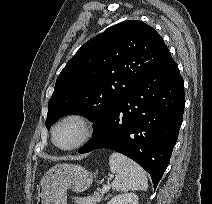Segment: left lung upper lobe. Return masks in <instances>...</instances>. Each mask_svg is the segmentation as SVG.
Returning <instances> with one entry per match:
<instances>
[{"instance_id":"obj_1","label":"left lung upper lobe","mask_w":212,"mask_h":204,"mask_svg":"<svg viewBox=\"0 0 212 204\" xmlns=\"http://www.w3.org/2000/svg\"><path fill=\"white\" fill-rule=\"evenodd\" d=\"M168 52L162 37L141 21L109 27L86 42L61 71L48 103L47 129L65 114H82L95 131Z\"/></svg>"}]
</instances>
